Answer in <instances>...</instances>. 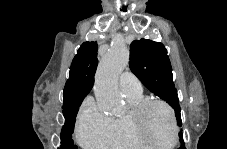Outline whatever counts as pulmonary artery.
<instances>
[{
	"label": "pulmonary artery",
	"instance_id": "obj_1",
	"mask_svg": "<svg viewBox=\"0 0 227 149\" xmlns=\"http://www.w3.org/2000/svg\"><path fill=\"white\" fill-rule=\"evenodd\" d=\"M119 85L124 95H137L142 93L140 81L130 72H124L120 75Z\"/></svg>",
	"mask_w": 227,
	"mask_h": 149
}]
</instances>
